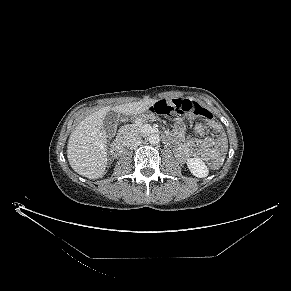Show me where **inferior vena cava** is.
Here are the masks:
<instances>
[{"instance_id":"obj_1","label":"inferior vena cava","mask_w":291,"mask_h":291,"mask_svg":"<svg viewBox=\"0 0 291 291\" xmlns=\"http://www.w3.org/2000/svg\"><path fill=\"white\" fill-rule=\"evenodd\" d=\"M141 144V140L139 137H132L127 140L126 147L128 149H135Z\"/></svg>"}]
</instances>
